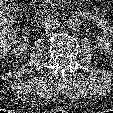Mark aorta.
<instances>
[{
	"label": "aorta",
	"instance_id": "obj_1",
	"mask_svg": "<svg viewBox=\"0 0 113 113\" xmlns=\"http://www.w3.org/2000/svg\"><path fill=\"white\" fill-rule=\"evenodd\" d=\"M66 24L71 30H78L82 25V21L78 16L72 15L67 19Z\"/></svg>",
	"mask_w": 113,
	"mask_h": 113
}]
</instances>
